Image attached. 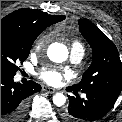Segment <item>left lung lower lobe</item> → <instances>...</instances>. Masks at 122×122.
<instances>
[{
	"label": "left lung lower lobe",
	"mask_w": 122,
	"mask_h": 122,
	"mask_svg": "<svg viewBox=\"0 0 122 122\" xmlns=\"http://www.w3.org/2000/svg\"><path fill=\"white\" fill-rule=\"evenodd\" d=\"M76 97L68 96L70 104L62 112V117L67 122H88L104 117L114 106L118 95L103 91H87L86 98L78 96V91L68 87Z\"/></svg>",
	"instance_id": "left-lung-lower-lobe-1"
}]
</instances>
